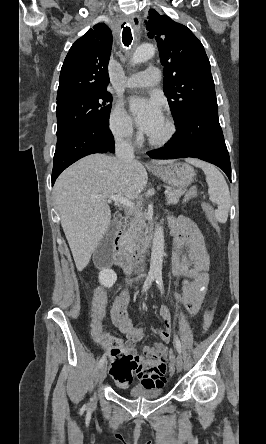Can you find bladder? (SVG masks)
I'll list each match as a JSON object with an SVG mask.
<instances>
[{"label":"bladder","mask_w":266,"mask_h":444,"mask_svg":"<svg viewBox=\"0 0 266 444\" xmlns=\"http://www.w3.org/2000/svg\"><path fill=\"white\" fill-rule=\"evenodd\" d=\"M162 394V389H145L140 387H133L128 392L129 397L138 399H156Z\"/></svg>","instance_id":"1"}]
</instances>
